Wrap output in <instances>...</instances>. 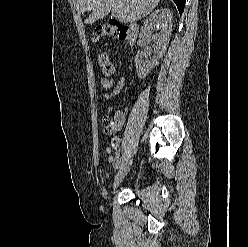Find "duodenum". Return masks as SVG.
Instances as JSON below:
<instances>
[{
	"mask_svg": "<svg viewBox=\"0 0 248 247\" xmlns=\"http://www.w3.org/2000/svg\"><path fill=\"white\" fill-rule=\"evenodd\" d=\"M119 22V21H118ZM118 28L123 29L126 31L128 42L133 43L136 39L137 32H138V27L136 24H122L119 22L117 24Z\"/></svg>",
	"mask_w": 248,
	"mask_h": 247,
	"instance_id": "obj_1",
	"label": "duodenum"
}]
</instances>
